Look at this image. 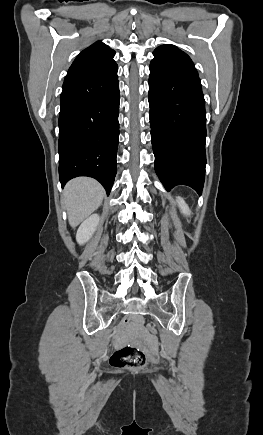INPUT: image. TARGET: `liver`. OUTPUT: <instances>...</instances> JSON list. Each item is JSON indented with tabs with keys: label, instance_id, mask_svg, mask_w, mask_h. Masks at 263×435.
Wrapping results in <instances>:
<instances>
[{
	"label": "liver",
	"instance_id": "obj_1",
	"mask_svg": "<svg viewBox=\"0 0 263 435\" xmlns=\"http://www.w3.org/2000/svg\"><path fill=\"white\" fill-rule=\"evenodd\" d=\"M103 187L94 179L78 177L69 181L63 191L64 202L71 227L75 228L101 204Z\"/></svg>",
	"mask_w": 263,
	"mask_h": 435
}]
</instances>
